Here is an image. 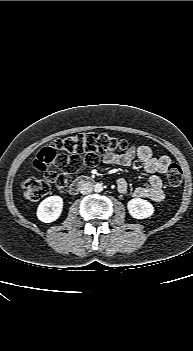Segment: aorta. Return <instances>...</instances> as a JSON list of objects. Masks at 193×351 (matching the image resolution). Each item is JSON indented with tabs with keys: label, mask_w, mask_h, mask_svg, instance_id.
I'll return each mask as SVG.
<instances>
[{
	"label": "aorta",
	"mask_w": 193,
	"mask_h": 351,
	"mask_svg": "<svg viewBox=\"0 0 193 351\" xmlns=\"http://www.w3.org/2000/svg\"><path fill=\"white\" fill-rule=\"evenodd\" d=\"M94 191H95L96 193L102 192V191H103V185H102V183H96V184L94 185Z\"/></svg>",
	"instance_id": "762f6f07"
}]
</instances>
